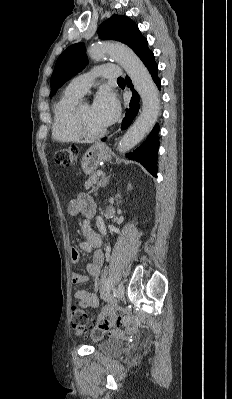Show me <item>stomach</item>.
I'll return each mask as SVG.
<instances>
[{
  "label": "stomach",
  "instance_id": "stomach-1",
  "mask_svg": "<svg viewBox=\"0 0 232 399\" xmlns=\"http://www.w3.org/2000/svg\"><path fill=\"white\" fill-rule=\"evenodd\" d=\"M109 160L107 146L102 142H95L87 152H85L81 160V168L85 174H93L98 166Z\"/></svg>",
  "mask_w": 232,
  "mask_h": 399
}]
</instances>
